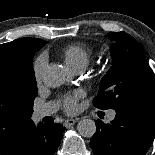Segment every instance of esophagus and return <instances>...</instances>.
I'll use <instances>...</instances> for the list:
<instances>
[{"mask_svg": "<svg viewBox=\"0 0 155 155\" xmlns=\"http://www.w3.org/2000/svg\"><path fill=\"white\" fill-rule=\"evenodd\" d=\"M76 122H77L76 119H67L65 121V126L70 127V126L74 125Z\"/></svg>", "mask_w": 155, "mask_h": 155, "instance_id": "esophagus-1", "label": "esophagus"}]
</instances>
